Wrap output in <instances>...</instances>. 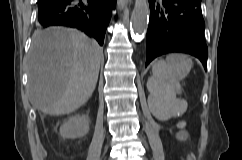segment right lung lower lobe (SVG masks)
Wrapping results in <instances>:
<instances>
[{"label":"right lung lower lobe","mask_w":242,"mask_h":160,"mask_svg":"<svg viewBox=\"0 0 242 160\" xmlns=\"http://www.w3.org/2000/svg\"><path fill=\"white\" fill-rule=\"evenodd\" d=\"M117 0H39L42 27L67 26L81 30L103 45L111 11Z\"/></svg>","instance_id":"98d812e1"}]
</instances>
